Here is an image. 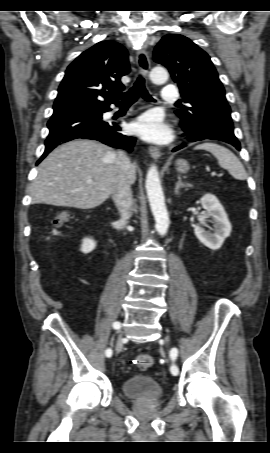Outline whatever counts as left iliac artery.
Wrapping results in <instances>:
<instances>
[{
    "label": "left iliac artery",
    "instance_id": "obj_1",
    "mask_svg": "<svg viewBox=\"0 0 270 453\" xmlns=\"http://www.w3.org/2000/svg\"><path fill=\"white\" fill-rule=\"evenodd\" d=\"M177 356H178V350H177V348H173L170 352L171 360L174 362L176 360ZM171 373L174 376L178 375V373H179V369L174 363L171 366Z\"/></svg>",
    "mask_w": 270,
    "mask_h": 453
}]
</instances>
